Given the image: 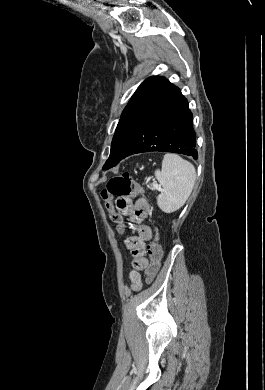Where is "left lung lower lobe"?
Returning <instances> with one entry per match:
<instances>
[{"mask_svg":"<svg viewBox=\"0 0 265 390\" xmlns=\"http://www.w3.org/2000/svg\"><path fill=\"white\" fill-rule=\"evenodd\" d=\"M192 120L186 98L178 87L166 80L142 110L133 138L120 161L151 151L179 153L197 159Z\"/></svg>","mask_w":265,"mask_h":390,"instance_id":"1","label":"left lung lower lobe"}]
</instances>
